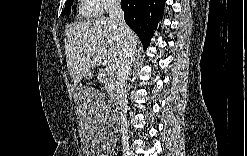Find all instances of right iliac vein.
Listing matches in <instances>:
<instances>
[{
    "instance_id": "right-iliac-vein-1",
    "label": "right iliac vein",
    "mask_w": 247,
    "mask_h": 156,
    "mask_svg": "<svg viewBox=\"0 0 247 156\" xmlns=\"http://www.w3.org/2000/svg\"><path fill=\"white\" fill-rule=\"evenodd\" d=\"M124 153H125V155H127V156H130V155H131V152L129 151L128 148H125V149H124Z\"/></svg>"
}]
</instances>
